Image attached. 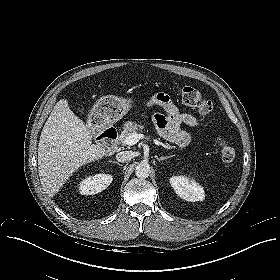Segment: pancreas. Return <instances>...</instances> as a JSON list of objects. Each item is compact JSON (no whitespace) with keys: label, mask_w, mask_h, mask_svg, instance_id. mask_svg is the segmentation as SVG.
<instances>
[{"label":"pancreas","mask_w":280,"mask_h":280,"mask_svg":"<svg viewBox=\"0 0 280 280\" xmlns=\"http://www.w3.org/2000/svg\"><path fill=\"white\" fill-rule=\"evenodd\" d=\"M143 128L144 127L142 125H139L133 121H127L124 124L123 131L121 132V134L119 136V141L121 143L125 144L124 140L129 134H131L133 132H137V131H142Z\"/></svg>","instance_id":"obj_1"}]
</instances>
